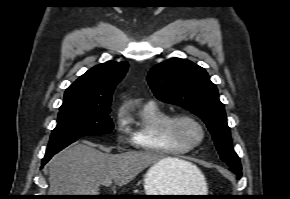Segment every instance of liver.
Instances as JSON below:
<instances>
[{
    "mask_svg": "<svg viewBox=\"0 0 290 199\" xmlns=\"http://www.w3.org/2000/svg\"><path fill=\"white\" fill-rule=\"evenodd\" d=\"M156 163H162L170 173L187 181L200 173L197 166L174 157L147 151L110 155L92 143H75L50 161L49 195H98L100 185L106 181L113 180L116 185L124 186Z\"/></svg>",
    "mask_w": 290,
    "mask_h": 199,
    "instance_id": "1",
    "label": "liver"
}]
</instances>
